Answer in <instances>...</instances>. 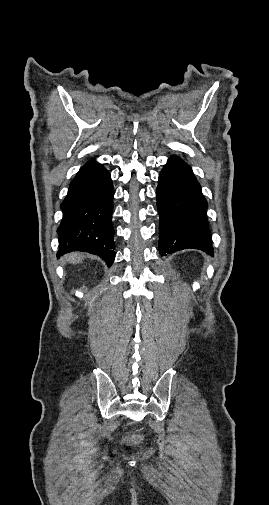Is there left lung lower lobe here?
I'll return each instance as SVG.
<instances>
[{
  "label": "left lung lower lobe",
  "mask_w": 269,
  "mask_h": 505,
  "mask_svg": "<svg viewBox=\"0 0 269 505\" xmlns=\"http://www.w3.org/2000/svg\"><path fill=\"white\" fill-rule=\"evenodd\" d=\"M159 222V252L198 249L213 255L207 201L191 168L171 156L162 169L156 191Z\"/></svg>",
  "instance_id": "left-lung-lower-lobe-1"
}]
</instances>
